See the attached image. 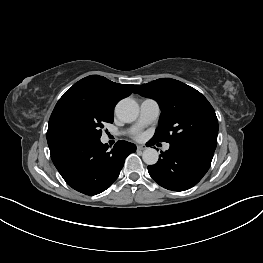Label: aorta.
Listing matches in <instances>:
<instances>
[{
  "label": "aorta",
  "instance_id": "obj_1",
  "mask_svg": "<svg viewBox=\"0 0 263 263\" xmlns=\"http://www.w3.org/2000/svg\"><path fill=\"white\" fill-rule=\"evenodd\" d=\"M117 117L125 122L130 123L136 120L139 114L138 104L130 99L125 98L118 102L115 107ZM159 154L153 148H147L143 151L142 159L147 165H154L158 162Z\"/></svg>",
  "mask_w": 263,
  "mask_h": 263
}]
</instances>
